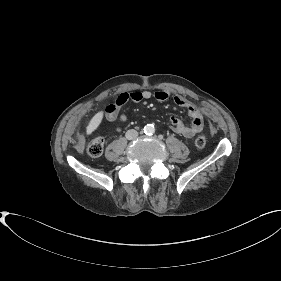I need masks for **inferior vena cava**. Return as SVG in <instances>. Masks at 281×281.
<instances>
[{
    "label": "inferior vena cava",
    "instance_id": "inferior-vena-cava-1",
    "mask_svg": "<svg viewBox=\"0 0 281 281\" xmlns=\"http://www.w3.org/2000/svg\"><path fill=\"white\" fill-rule=\"evenodd\" d=\"M125 136L128 140H132L138 136V132L134 129H130L126 132Z\"/></svg>",
    "mask_w": 281,
    "mask_h": 281
}]
</instances>
